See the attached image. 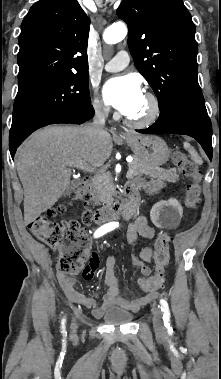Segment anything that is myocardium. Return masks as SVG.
I'll return each mask as SVG.
<instances>
[{
	"instance_id": "myocardium-1",
	"label": "myocardium",
	"mask_w": 221,
	"mask_h": 379,
	"mask_svg": "<svg viewBox=\"0 0 221 379\" xmlns=\"http://www.w3.org/2000/svg\"><path fill=\"white\" fill-rule=\"evenodd\" d=\"M144 96L149 103L148 113L144 117L139 119H132L130 117H126V123L132 127H148L154 124L160 116L161 108L158 97L152 92H146Z\"/></svg>"
}]
</instances>
